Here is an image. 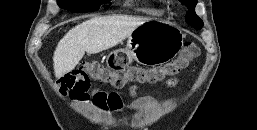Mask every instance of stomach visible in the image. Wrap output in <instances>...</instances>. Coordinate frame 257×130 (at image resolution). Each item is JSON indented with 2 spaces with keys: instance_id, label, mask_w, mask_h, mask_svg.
Masks as SVG:
<instances>
[{
  "instance_id": "1",
  "label": "stomach",
  "mask_w": 257,
  "mask_h": 130,
  "mask_svg": "<svg viewBox=\"0 0 257 130\" xmlns=\"http://www.w3.org/2000/svg\"><path fill=\"white\" fill-rule=\"evenodd\" d=\"M184 34L176 26L149 20L138 26L128 37L125 49L111 52V65L130 63L132 60L143 65L162 64L173 59L183 45Z\"/></svg>"
}]
</instances>
